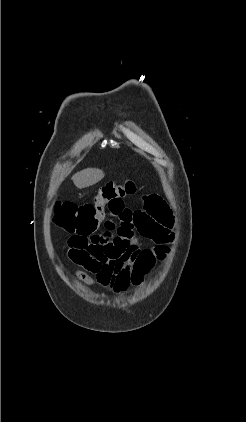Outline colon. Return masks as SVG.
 Instances as JSON below:
<instances>
[{"instance_id":"5ec220e1","label":"colon","mask_w":246,"mask_h":422,"mask_svg":"<svg viewBox=\"0 0 246 422\" xmlns=\"http://www.w3.org/2000/svg\"><path fill=\"white\" fill-rule=\"evenodd\" d=\"M135 191L136 184L133 180L109 182L99 189L89 203L57 202L54 207V222L69 233L90 235L98 230L107 212L111 209L120 210L123 198ZM164 256L165 252L161 248L142 249L133 262L132 284L139 285L156 261L162 260Z\"/></svg>"}]
</instances>
